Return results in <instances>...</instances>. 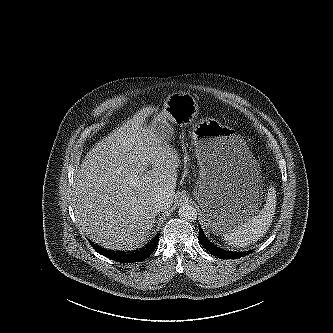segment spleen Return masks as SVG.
<instances>
[{
  "instance_id": "1",
  "label": "spleen",
  "mask_w": 333,
  "mask_h": 333,
  "mask_svg": "<svg viewBox=\"0 0 333 333\" xmlns=\"http://www.w3.org/2000/svg\"><path fill=\"white\" fill-rule=\"evenodd\" d=\"M275 209L276 191L270 186L262 210L223 234L225 243L231 247L244 248L259 240L269 229Z\"/></svg>"
}]
</instances>
